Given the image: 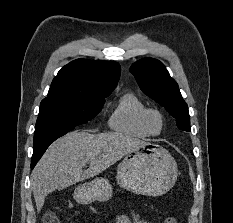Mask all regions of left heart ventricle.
Listing matches in <instances>:
<instances>
[{"label":"left heart ventricle","mask_w":233,"mask_h":223,"mask_svg":"<svg viewBox=\"0 0 233 223\" xmlns=\"http://www.w3.org/2000/svg\"><path fill=\"white\" fill-rule=\"evenodd\" d=\"M150 128L154 133H159L163 129V122L158 114H153L150 117Z\"/></svg>","instance_id":"obj_1"}]
</instances>
